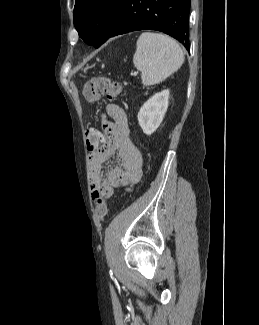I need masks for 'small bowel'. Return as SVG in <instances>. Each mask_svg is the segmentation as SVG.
Wrapping results in <instances>:
<instances>
[{
  "label": "small bowel",
  "instance_id": "small-bowel-1",
  "mask_svg": "<svg viewBox=\"0 0 259 325\" xmlns=\"http://www.w3.org/2000/svg\"><path fill=\"white\" fill-rule=\"evenodd\" d=\"M110 119V120H109ZM104 133L101 136L100 149H88L91 164V195L94 200L111 197L116 187L128 190L142 177V156L133 144L125 111L116 104H108L102 115ZM117 153L118 166L105 175L103 163Z\"/></svg>",
  "mask_w": 259,
  "mask_h": 325
}]
</instances>
